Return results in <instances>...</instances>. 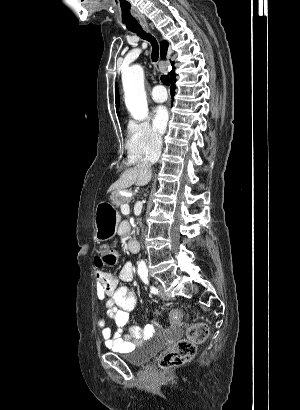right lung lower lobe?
I'll return each mask as SVG.
<instances>
[{
  "label": "right lung lower lobe",
  "instance_id": "obj_1",
  "mask_svg": "<svg viewBox=\"0 0 300 410\" xmlns=\"http://www.w3.org/2000/svg\"><path fill=\"white\" fill-rule=\"evenodd\" d=\"M171 81H172L171 95H172V97H173L174 94H175V82H176L175 75H173V76L171 77Z\"/></svg>",
  "mask_w": 300,
  "mask_h": 410
}]
</instances>
